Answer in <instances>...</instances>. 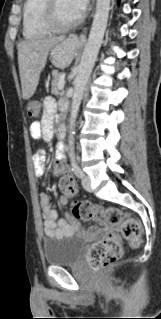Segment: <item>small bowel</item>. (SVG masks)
I'll return each mask as SVG.
<instances>
[{
  "instance_id": "obj_1",
  "label": "small bowel",
  "mask_w": 161,
  "mask_h": 319,
  "mask_svg": "<svg viewBox=\"0 0 161 319\" xmlns=\"http://www.w3.org/2000/svg\"><path fill=\"white\" fill-rule=\"evenodd\" d=\"M64 106V104H63ZM57 112V103L54 98L47 97L43 103V117L41 121L34 122L30 127V136L33 140L50 142L54 136V120ZM60 154V161L55 164V173L61 174L63 178H68L72 181L73 187L66 190L63 195L58 197V201L65 205L68 199L74 196L77 192V186L72 179L67 164L65 162V156L63 155L64 149L59 147L57 149ZM34 172L36 175L44 174V162L45 158L41 151H37L33 156ZM41 215L43 219L44 232L47 236L69 234L74 231L81 230V226L78 222L72 219L69 214H65L60 218L56 210L52 209L49 197L46 193H42L39 202ZM103 229L89 230L87 235L91 238L99 236Z\"/></svg>"
}]
</instances>
